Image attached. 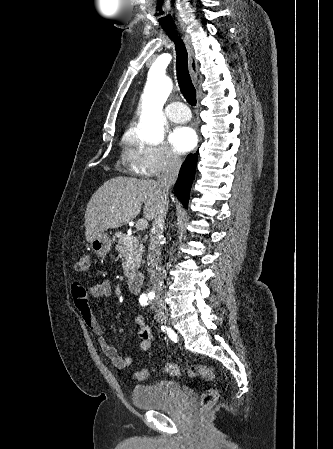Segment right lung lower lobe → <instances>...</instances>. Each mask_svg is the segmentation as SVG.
Listing matches in <instances>:
<instances>
[{
  "label": "right lung lower lobe",
  "mask_w": 333,
  "mask_h": 449,
  "mask_svg": "<svg viewBox=\"0 0 333 449\" xmlns=\"http://www.w3.org/2000/svg\"><path fill=\"white\" fill-rule=\"evenodd\" d=\"M197 163V154H189L181 166L178 180L174 187L176 197L187 208L190 188L194 180Z\"/></svg>",
  "instance_id": "98d812e1"
}]
</instances>
